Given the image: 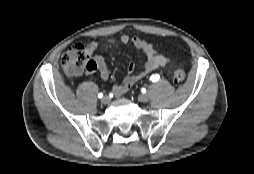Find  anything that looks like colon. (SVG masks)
<instances>
[{"mask_svg": "<svg viewBox=\"0 0 254 174\" xmlns=\"http://www.w3.org/2000/svg\"><path fill=\"white\" fill-rule=\"evenodd\" d=\"M63 69L70 75H79L94 69L93 62L89 59L86 47L81 43L71 45L61 57ZM186 75L183 70L176 69L173 72V80L176 84L185 81Z\"/></svg>", "mask_w": 254, "mask_h": 174, "instance_id": "colon-1", "label": "colon"}]
</instances>
